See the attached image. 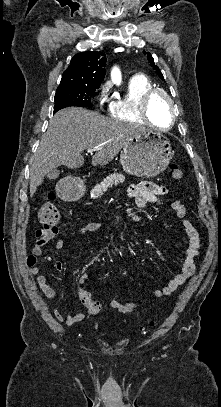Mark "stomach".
<instances>
[{
  "label": "stomach",
  "mask_w": 221,
  "mask_h": 407,
  "mask_svg": "<svg viewBox=\"0 0 221 407\" xmlns=\"http://www.w3.org/2000/svg\"><path fill=\"white\" fill-rule=\"evenodd\" d=\"M169 140L161 133L146 131L134 137L120 153L123 169L137 177H154L166 169L171 158ZM85 188L77 182L66 186L63 197L76 201L84 195Z\"/></svg>",
  "instance_id": "obj_1"
}]
</instances>
